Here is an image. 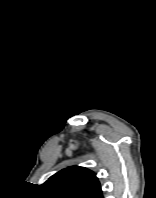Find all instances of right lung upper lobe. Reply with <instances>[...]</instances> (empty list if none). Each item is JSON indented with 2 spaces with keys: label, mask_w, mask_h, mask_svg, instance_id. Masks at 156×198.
<instances>
[{
  "label": "right lung upper lobe",
  "mask_w": 156,
  "mask_h": 198,
  "mask_svg": "<svg viewBox=\"0 0 156 198\" xmlns=\"http://www.w3.org/2000/svg\"><path fill=\"white\" fill-rule=\"evenodd\" d=\"M49 198H103L94 172L79 166L63 169L41 185Z\"/></svg>",
  "instance_id": "obj_1"
}]
</instances>
